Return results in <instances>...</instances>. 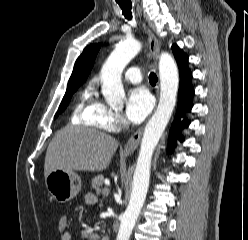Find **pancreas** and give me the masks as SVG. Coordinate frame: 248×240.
I'll list each match as a JSON object with an SVG mask.
<instances>
[{
  "label": "pancreas",
  "mask_w": 248,
  "mask_h": 240,
  "mask_svg": "<svg viewBox=\"0 0 248 240\" xmlns=\"http://www.w3.org/2000/svg\"><path fill=\"white\" fill-rule=\"evenodd\" d=\"M104 177L102 175H98L94 177L91 181L92 188L96 191L97 194L101 192V186L103 185Z\"/></svg>",
  "instance_id": "pancreas-1"
}]
</instances>
